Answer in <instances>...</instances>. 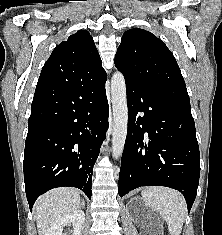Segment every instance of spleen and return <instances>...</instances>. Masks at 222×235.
I'll list each match as a JSON object with an SVG mask.
<instances>
[{"label": "spleen", "instance_id": "1", "mask_svg": "<svg viewBox=\"0 0 222 235\" xmlns=\"http://www.w3.org/2000/svg\"><path fill=\"white\" fill-rule=\"evenodd\" d=\"M141 194L145 203L166 221L170 234L180 235L187 212L183 195L174 189L159 186L145 188Z\"/></svg>", "mask_w": 222, "mask_h": 235}]
</instances>
